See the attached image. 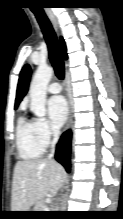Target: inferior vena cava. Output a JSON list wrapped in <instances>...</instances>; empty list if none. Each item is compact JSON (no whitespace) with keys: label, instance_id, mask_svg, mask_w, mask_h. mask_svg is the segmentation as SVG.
Here are the masks:
<instances>
[{"label":"inferior vena cava","instance_id":"inferior-vena-cava-1","mask_svg":"<svg viewBox=\"0 0 123 219\" xmlns=\"http://www.w3.org/2000/svg\"><path fill=\"white\" fill-rule=\"evenodd\" d=\"M59 135H60V130L58 128H53V141L51 143V153L50 155L48 156L49 159H51L54 155V152H55V144L56 142L58 141V138H59Z\"/></svg>","mask_w":123,"mask_h":219}]
</instances>
